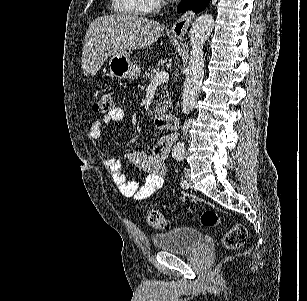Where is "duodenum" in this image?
Masks as SVG:
<instances>
[{
    "instance_id": "duodenum-1",
    "label": "duodenum",
    "mask_w": 307,
    "mask_h": 301,
    "mask_svg": "<svg viewBox=\"0 0 307 301\" xmlns=\"http://www.w3.org/2000/svg\"><path fill=\"white\" fill-rule=\"evenodd\" d=\"M155 125L159 129L173 131L177 128L178 120L175 115L167 113L158 116L155 120Z\"/></svg>"
}]
</instances>
